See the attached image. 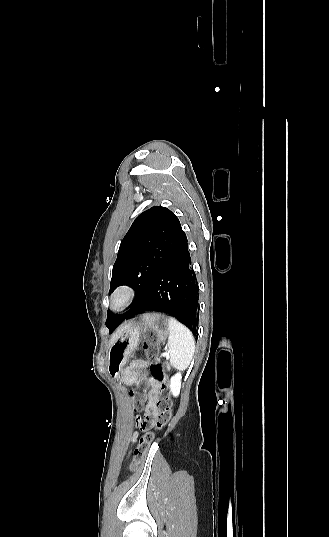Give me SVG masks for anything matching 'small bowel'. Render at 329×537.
<instances>
[{
	"label": "small bowel",
	"mask_w": 329,
	"mask_h": 537,
	"mask_svg": "<svg viewBox=\"0 0 329 537\" xmlns=\"http://www.w3.org/2000/svg\"><path fill=\"white\" fill-rule=\"evenodd\" d=\"M148 368V364L143 360L133 361L123 373V381L126 384H132L138 379L145 378L144 371ZM146 381L150 387L149 400L145 407V419L154 422L157 417V393L160 387V381L154 377L146 378ZM137 434H134L131 438V442L137 441Z\"/></svg>",
	"instance_id": "c3829d8e"
}]
</instances>
